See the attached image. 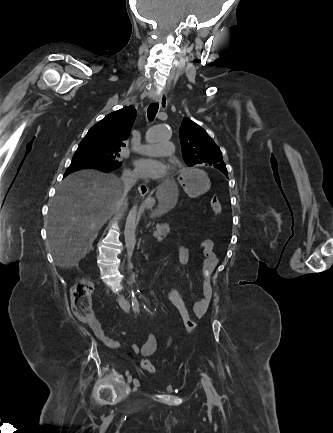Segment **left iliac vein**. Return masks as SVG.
<instances>
[{
  "label": "left iliac vein",
  "instance_id": "1",
  "mask_svg": "<svg viewBox=\"0 0 333 433\" xmlns=\"http://www.w3.org/2000/svg\"><path fill=\"white\" fill-rule=\"evenodd\" d=\"M200 381H201V384H202L206 394L211 395L212 392H211L210 387H209L208 383L206 382V380L204 378H201Z\"/></svg>",
  "mask_w": 333,
  "mask_h": 433
}]
</instances>
